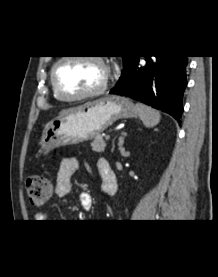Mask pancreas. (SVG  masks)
I'll return each instance as SVG.
<instances>
[{
	"label": "pancreas",
	"mask_w": 218,
	"mask_h": 277,
	"mask_svg": "<svg viewBox=\"0 0 218 277\" xmlns=\"http://www.w3.org/2000/svg\"><path fill=\"white\" fill-rule=\"evenodd\" d=\"M91 147L93 151L102 153L105 150L106 142L103 140V137L100 135L94 138V140L91 142Z\"/></svg>",
	"instance_id": "obj_1"
}]
</instances>
